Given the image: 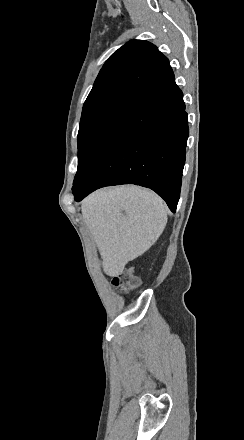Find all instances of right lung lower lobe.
Here are the masks:
<instances>
[{
	"label": "right lung lower lobe",
	"mask_w": 244,
	"mask_h": 440,
	"mask_svg": "<svg viewBox=\"0 0 244 440\" xmlns=\"http://www.w3.org/2000/svg\"><path fill=\"white\" fill-rule=\"evenodd\" d=\"M188 134L183 94L172 76L112 129L74 184L75 200L104 186L136 184L155 191L175 212Z\"/></svg>",
	"instance_id": "98d812e1"
}]
</instances>
